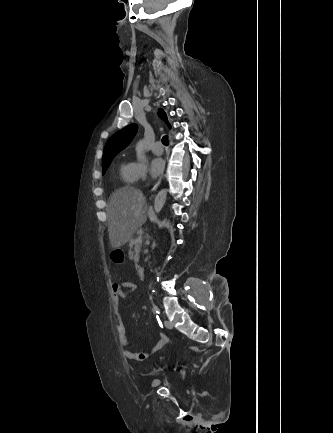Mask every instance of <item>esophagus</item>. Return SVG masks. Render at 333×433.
Masks as SVG:
<instances>
[{
	"label": "esophagus",
	"mask_w": 333,
	"mask_h": 433,
	"mask_svg": "<svg viewBox=\"0 0 333 433\" xmlns=\"http://www.w3.org/2000/svg\"><path fill=\"white\" fill-rule=\"evenodd\" d=\"M162 177H163V174L160 176V178L157 180V182L154 184V186H153V188H152V191H155L157 188H158V186L160 185V183H161V181H162Z\"/></svg>",
	"instance_id": "esophagus-1"
}]
</instances>
